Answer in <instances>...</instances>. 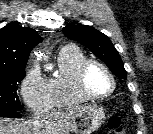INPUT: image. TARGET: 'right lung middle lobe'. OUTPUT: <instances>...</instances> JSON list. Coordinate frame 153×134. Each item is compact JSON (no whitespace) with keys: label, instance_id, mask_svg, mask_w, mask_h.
<instances>
[{"label":"right lung middle lobe","instance_id":"1","mask_svg":"<svg viewBox=\"0 0 153 134\" xmlns=\"http://www.w3.org/2000/svg\"><path fill=\"white\" fill-rule=\"evenodd\" d=\"M25 69L0 71V110L20 111L18 83L25 77Z\"/></svg>","mask_w":153,"mask_h":134}]
</instances>
